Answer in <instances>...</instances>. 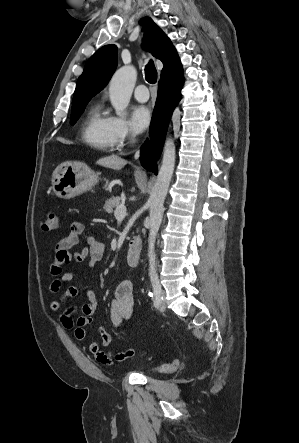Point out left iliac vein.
I'll list each match as a JSON object with an SVG mask.
<instances>
[{
  "instance_id": "4c4485c4",
  "label": "left iliac vein",
  "mask_w": 299,
  "mask_h": 443,
  "mask_svg": "<svg viewBox=\"0 0 299 443\" xmlns=\"http://www.w3.org/2000/svg\"><path fill=\"white\" fill-rule=\"evenodd\" d=\"M161 294H162V297H163L164 296V292L162 290H161ZM158 308L160 310H162V311L166 309L165 299L164 300L162 299V301L160 302Z\"/></svg>"
}]
</instances>
